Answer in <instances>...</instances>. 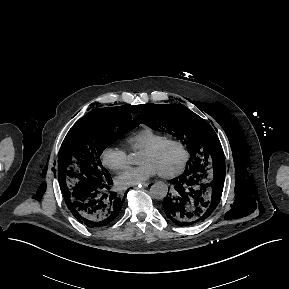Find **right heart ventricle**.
<instances>
[{"instance_id": "1", "label": "right heart ventricle", "mask_w": 289, "mask_h": 289, "mask_svg": "<svg viewBox=\"0 0 289 289\" xmlns=\"http://www.w3.org/2000/svg\"><path fill=\"white\" fill-rule=\"evenodd\" d=\"M165 138H167L166 135L155 131L151 127L146 126L127 135L125 141L133 150H143Z\"/></svg>"}]
</instances>
